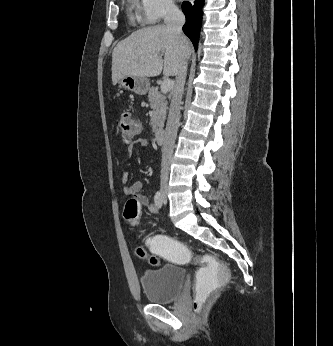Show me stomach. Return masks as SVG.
<instances>
[{
  "label": "stomach",
  "instance_id": "1",
  "mask_svg": "<svg viewBox=\"0 0 333 346\" xmlns=\"http://www.w3.org/2000/svg\"><path fill=\"white\" fill-rule=\"evenodd\" d=\"M119 87L127 89L138 95H145L150 87L146 77L125 76L118 81Z\"/></svg>",
  "mask_w": 333,
  "mask_h": 346
}]
</instances>
